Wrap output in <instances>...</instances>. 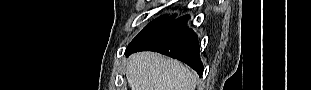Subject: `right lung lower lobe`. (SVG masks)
Instances as JSON below:
<instances>
[{
    "label": "right lung lower lobe",
    "instance_id": "obj_1",
    "mask_svg": "<svg viewBox=\"0 0 311 90\" xmlns=\"http://www.w3.org/2000/svg\"><path fill=\"white\" fill-rule=\"evenodd\" d=\"M189 16L172 20L138 42L130 43L125 54L150 50L176 58L192 67L200 76L203 64L199 56L198 37L186 26Z\"/></svg>",
    "mask_w": 311,
    "mask_h": 90
}]
</instances>
